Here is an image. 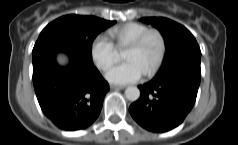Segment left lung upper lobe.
<instances>
[{
  "label": "left lung upper lobe",
  "mask_w": 238,
  "mask_h": 145,
  "mask_svg": "<svg viewBox=\"0 0 238 145\" xmlns=\"http://www.w3.org/2000/svg\"><path fill=\"white\" fill-rule=\"evenodd\" d=\"M141 21L156 27L166 40L167 53L160 70L172 68L187 60L201 59L196 39L184 26L163 17L141 18Z\"/></svg>",
  "instance_id": "left-lung-upper-lobe-1"
}]
</instances>
